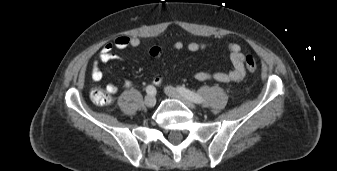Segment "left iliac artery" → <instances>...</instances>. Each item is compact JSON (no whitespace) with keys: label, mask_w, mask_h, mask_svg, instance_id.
<instances>
[{"label":"left iliac artery","mask_w":337,"mask_h":171,"mask_svg":"<svg viewBox=\"0 0 337 171\" xmlns=\"http://www.w3.org/2000/svg\"><path fill=\"white\" fill-rule=\"evenodd\" d=\"M180 93L185 96L187 99L191 100L194 103H202L203 99L201 96H199L198 94L184 88V87H179L178 88Z\"/></svg>","instance_id":"44dca946"}]
</instances>
